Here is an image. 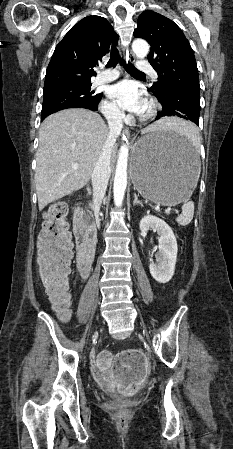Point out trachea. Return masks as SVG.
I'll return each instance as SVG.
<instances>
[{
	"instance_id": "trachea-1",
	"label": "trachea",
	"mask_w": 233,
	"mask_h": 449,
	"mask_svg": "<svg viewBox=\"0 0 233 449\" xmlns=\"http://www.w3.org/2000/svg\"><path fill=\"white\" fill-rule=\"evenodd\" d=\"M120 62L121 65L124 66L126 71L130 74H138V75H144L143 72L137 70L131 63L128 62V64L125 62L123 58L120 57L119 51L115 46L111 47V54L110 59L107 63V67H115L117 63Z\"/></svg>"
}]
</instances>
